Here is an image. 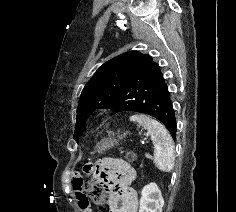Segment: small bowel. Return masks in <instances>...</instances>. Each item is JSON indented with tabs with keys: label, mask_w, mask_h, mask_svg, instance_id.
Returning <instances> with one entry per match:
<instances>
[{
	"label": "small bowel",
	"mask_w": 236,
	"mask_h": 212,
	"mask_svg": "<svg viewBox=\"0 0 236 212\" xmlns=\"http://www.w3.org/2000/svg\"><path fill=\"white\" fill-rule=\"evenodd\" d=\"M100 173L109 188L118 187V194L110 202V212H138L137 194L130 184L136 178L134 169L124 160L107 159ZM74 184L75 195L82 212H92L86 195L82 191L83 178L77 175Z\"/></svg>",
	"instance_id": "obj_1"
}]
</instances>
